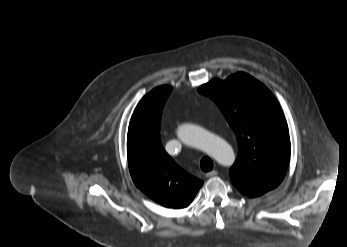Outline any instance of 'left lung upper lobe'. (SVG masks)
Returning <instances> with one entry per match:
<instances>
[{
	"label": "left lung upper lobe",
	"mask_w": 347,
	"mask_h": 247,
	"mask_svg": "<svg viewBox=\"0 0 347 247\" xmlns=\"http://www.w3.org/2000/svg\"><path fill=\"white\" fill-rule=\"evenodd\" d=\"M198 91L220 108L238 141L230 169L232 183L266 193L284 179L290 159L288 126L273 94L258 80L239 72L213 79Z\"/></svg>",
	"instance_id": "5c2ea615"
}]
</instances>
